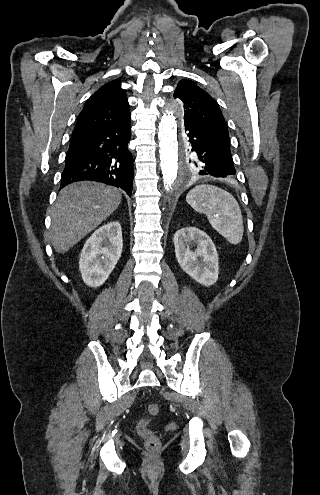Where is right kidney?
<instances>
[{
    "label": "right kidney",
    "mask_w": 320,
    "mask_h": 495,
    "mask_svg": "<svg viewBox=\"0 0 320 495\" xmlns=\"http://www.w3.org/2000/svg\"><path fill=\"white\" fill-rule=\"evenodd\" d=\"M122 248V229L118 222L97 229L86 241L79 260L84 283L94 288L101 286L115 268Z\"/></svg>",
    "instance_id": "right-kidney-1"
}]
</instances>
